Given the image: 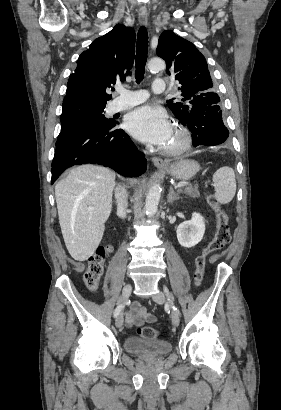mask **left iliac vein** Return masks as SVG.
<instances>
[{"mask_svg": "<svg viewBox=\"0 0 281 410\" xmlns=\"http://www.w3.org/2000/svg\"><path fill=\"white\" fill-rule=\"evenodd\" d=\"M153 300H154L157 304L162 305V304L165 303V296H164L163 293L158 292L157 294H155V295L153 296ZM179 323H180V317H179V315H178V313H177L176 311H173V312H172V324H173L175 327H177V326L179 325Z\"/></svg>", "mask_w": 281, "mask_h": 410, "instance_id": "1", "label": "left iliac vein"}]
</instances>
